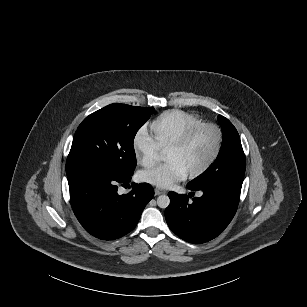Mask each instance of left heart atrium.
Returning a JSON list of instances; mask_svg holds the SVG:
<instances>
[{"label":"left heart atrium","mask_w":307,"mask_h":307,"mask_svg":"<svg viewBox=\"0 0 307 307\" xmlns=\"http://www.w3.org/2000/svg\"><path fill=\"white\" fill-rule=\"evenodd\" d=\"M188 174L174 162H165L144 170L140 174L141 180L159 188H168L174 182L182 181Z\"/></svg>","instance_id":"1"}]
</instances>
